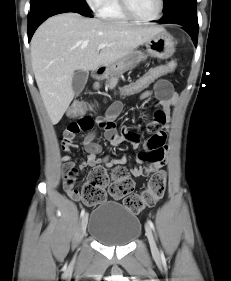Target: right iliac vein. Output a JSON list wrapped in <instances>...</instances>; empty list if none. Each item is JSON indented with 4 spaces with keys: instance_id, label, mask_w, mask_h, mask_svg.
Masks as SVG:
<instances>
[{
    "instance_id": "63e3f726",
    "label": "right iliac vein",
    "mask_w": 231,
    "mask_h": 281,
    "mask_svg": "<svg viewBox=\"0 0 231 281\" xmlns=\"http://www.w3.org/2000/svg\"><path fill=\"white\" fill-rule=\"evenodd\" d=\"M87 222H88V215L85 214L82 218L81 221V228H80V234H79V240H81L85 234L86 227H87Z\"/></svg>"
}]
</instances>
